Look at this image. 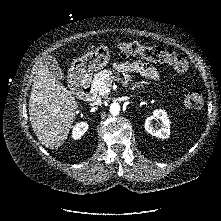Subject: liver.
Instances as JSON below:
<instances>
[{
	"label": "liver",
	"mask_w": 221,
	"mask_h": 221,
	"mask_svg": "<svg viewBox=\"0 0 221 221\" xmlns=\"http://www.w3.org/2000/svg\"><path fill=\"white\" fill-rule=\"evenodd\" d=\"M78 102L44 65L36 73L29 100V118L34 133L46 148H58L67 139Z\"/></svg>",
	"instance_id": "liver-1"
}]
</instances>
